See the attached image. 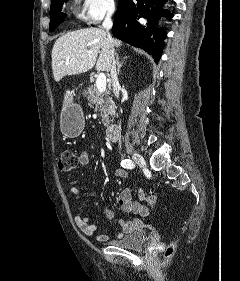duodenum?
Here are the masks:
<instances>
[{
	"label": "duodenum",
	"instance_id": "obj_1",
	"mask_svg": "<svg viewBox=\"0 0 240 281\" xmlns=\"http://www.w3.org/2000/svg\"><path fill=\"white\" fill-rule=\"evenodd\" d=\"M105 134L108 140L116 141L118 139V127L114 124L108 125Z\"/></svg>",
	"mask_w": 240,
	"mask_h": 281
}]
</instances>
